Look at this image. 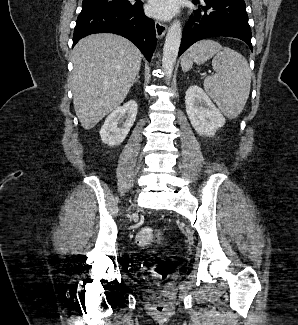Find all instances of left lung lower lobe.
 I'll return each mask as SVG.
<instances>
[{
    "instance_id": "obj_1",
    "label": "left lung lower lobe",
    "mask_w": 298,
    "mask_h": 325,
    "mask_svg": "<svg viewBox=\"0 0 298 325\" xmlns=\"http://www.w3.org/2000/svg\"><path fill=\"white\" fill-rule=\"evenodd\" d=\"M193 0L198 10L184 28L179 56L195 42L216 36L235 37L245 41L253 51L251 29L244 0ZM203 2V4H204Z\"/></svg>"
}]
</instances>
